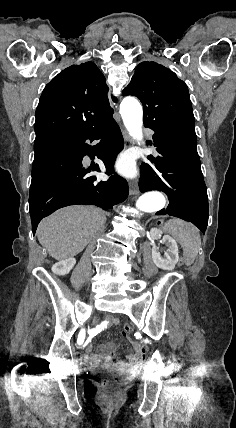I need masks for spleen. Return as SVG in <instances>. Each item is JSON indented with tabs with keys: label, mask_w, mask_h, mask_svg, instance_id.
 Segmentation results:
<instances>
[{
	"label": "spleen",
	"mask_w": 236,
	"mask_h": 428,
	"mask_svg": "<svg viewBox=\"0 0 236 428\" xmlns=\"http://www.w3.org/2000/svg\"><path fill=\"white\" fill-rule=\"evenodd\" d=\"M164 230L180 244L181 248H183L184 262L186 266H191L196 256H198L201 246V238L197 228L193 224H189V222L173 218V220L166 222Z\"/></svg>",
	"instance_id": "3e777b00"
}]
</instances>
